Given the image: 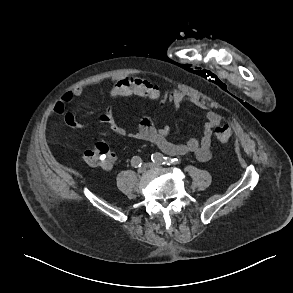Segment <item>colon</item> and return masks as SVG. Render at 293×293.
<instances>
[{"mask_svg": "<svg viewBox=\"0 0 293 293\" xmlns=\"http://www.w3.org/2000/svg\"><path fill=\"white\" fill-rule=\"evenodd\" d=\"M142 95L146 98H152L153 94L143 92ZM213 134L216 140L220 143L227 142L231 137V129L228 125H218L214 127ZM115 155L109 147L103 143L98 142L83 153V161L90 166L106 168L114 160Z\"/></svg>", "mask_w": 293, "mask_h": 293, "instance_id": "obj_1", "label": "colon"}]
</instances>
